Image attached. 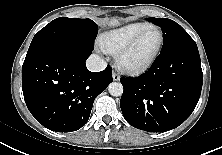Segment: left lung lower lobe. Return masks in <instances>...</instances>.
I'll use <instances>...</instances> for the list:
<instances>
[{
  "mask_svg": "<svg viewBox=\"0 0 222 155\" xmlns=\"http://www.w3.org/2000/svg\"><path fill=\"white\" fill-rule=\"evenodd\" d=\"M120 81L124 87L120 106L129 124L149 132L174 129L191 115L201 94L198 48L163 52L147 72Z\"/></svg>",
  "mask_w": 222,
  "mask_h": 155,
  "instance_id": "0a47b994",
  "label": "left lung lower lobe"
}]
</instances>
